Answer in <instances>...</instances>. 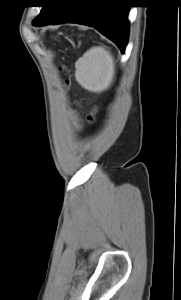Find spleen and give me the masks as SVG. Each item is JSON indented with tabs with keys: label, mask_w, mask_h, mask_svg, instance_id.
Listing matches in <instances>:
<instances>
[{
	"label": "spleen",
	"mask_w": 181,
	"mask_h": 300,
	"mask_svg": "<svg viewBox=\"0 0 181 300\" xmlns=\"http://www.w3.org/2000/svg\"><path fill=\"white\" fill-rule=\"evenodd\" d=\"M75 68L76 81L90 92L105 91L114 79V59L103 46L89 49L76 61Z\"/></svg>",
	"instance_id": "3e777b00"
}]
</instances>
